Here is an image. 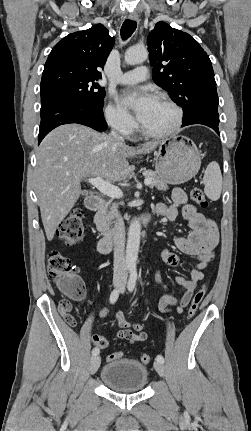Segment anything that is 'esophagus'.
Here are the masks:
<instances>
[{"instance_id": "34e87169", "label": "esophagus", "mask_w": 251, "mask_h": 431, "mask_svg": "<svg viewBox=\"0 0 251 431\" xmlns=\"http://www.w3.org/2000/svg\"><path fill=\"white\" fill-rule=\"evenodd\" d=\"M128 18L130 19V20H133V21H139V16H138V14L137 13H135V12H133V13H130L129 15H128Z\"/></svg>"}]
</instances>
